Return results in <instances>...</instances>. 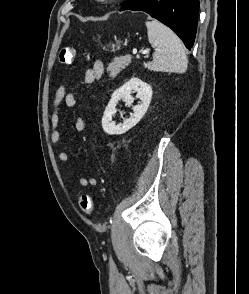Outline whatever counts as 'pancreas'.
<instances>
[{
    "label": "pancreas",
    "instance_id": "cf45deb5",
    "mask_svg": "<svg viewBox=\"0 0 249 294\" xmlns=\"http://www.w3.org/2000/svg\"><path fill=\"white\" fill-rule=\"evenodd\" d=\"M131 62L130 56L117 57L108 65L107 72L110 73V77H116L120 71L125 69Z\"/></svg>",
    "mask_w": 249,
    "mask_h": 294
}]
</instances>
